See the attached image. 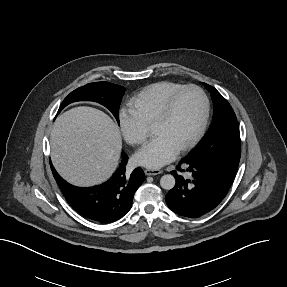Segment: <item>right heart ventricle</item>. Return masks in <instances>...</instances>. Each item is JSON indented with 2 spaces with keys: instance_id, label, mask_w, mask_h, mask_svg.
I'll list each match as a JSON object with an SVG mask.
<instances>
[{
  "instance_id": "obj_1",
  "label": "right heart ventricle",
  "mask_w": 287,
  "mask_h": 287,
  "mask_svg": "<svg viewBox=\"0 0 287 287\" xmlns=\"http://www.w3.org/2000/svg\"><path fill=\"white\" fill-rule=\"evenodd\" d=\"M182 87L172 81L157 82L145 87L129 101V107L135 111L149 127L161 111L168 96Z\"/></svg>"
}]
</instances>
